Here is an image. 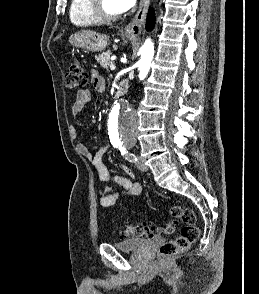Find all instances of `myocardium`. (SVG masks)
<instances>
[{
	"label": "myocardium",
	"instance_id": "f54148a6",
	"mask_svg": "<svg viewBox=\"0 0 259 294\" xmlns=\"http://www.w3.org/2000/svg\"><path fill=\"white\" fill-rule=\"evenodd\" d=\"M89 10L99 22L103 23L114 22L122 16V13H108L102 5V0H89Z\"/></svg>",
	"mask_w": 259,
	"mask_h": 294
}]
</instances>
